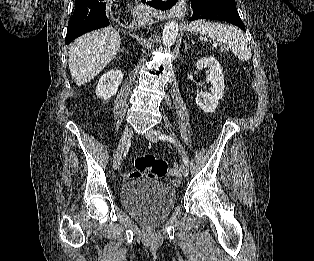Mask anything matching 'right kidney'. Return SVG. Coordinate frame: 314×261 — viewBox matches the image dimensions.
Instances as JSON below:
<instances>
[{
	"label": "right kidney",
	"mask_w": 314,
	"mask_h": 261,
	"mask_svg": "<svg viewBox=\"0 0 314 261\" xmlns=\"http://www.w3.org/2000/svg\"><path fill=\"white\" fill-rule=\"evenodd\" d=\"M123 79V74L117 69H111L101 76L96 87L97 97L108 100L113 97L118 90Z\"/></svg>",
	"instance_id": "obj_1"
}]
</instances>
